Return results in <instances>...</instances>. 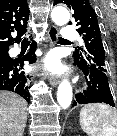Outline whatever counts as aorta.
<instances>
[{
	"label": "aorta",
	"instance_id": "obj_1",
	"mask_svg": "<svg viewBox=\"0 0 117 136\" xmlns=\"http://www.w3.org/2000/svg\"><path fill=\"white\" fill-rule=\"evenodd\" d=\"M51 18L56 25L63 26L69 22L70 13L69 11L61 6L55 7L51 12ZM72 86L68 80H63L59 86L57 91V101L59 105L66 109L70 106L72 102Z\"/></svg>",
	"mask_w": 117,
	"mask_h": 136
}]
</instances>
